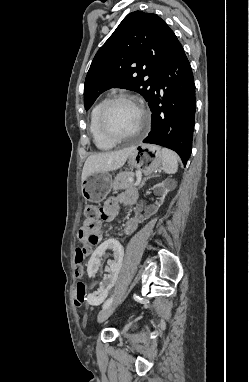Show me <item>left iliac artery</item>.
<instances>
[{"label":"left iliac artery","mask_w":249,"mask_h":382,"mask_svg":"<svg viewBox=\"0 0 249 382\" xmlns=\"http://www.w3.org/2000/svg\"><path fill=\"white\" fill-rule=\"evenodd\" d=\"M114 296H111L109 299H107L103 305V309L109 307L113 302Z\"/></svg>","instance_id":"1"}]
</instances>
